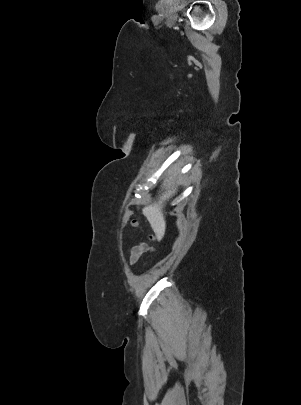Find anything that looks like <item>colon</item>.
<instances>
[{
  "label": "colon",
  "instance_id": "1",
  "mask_svg": "<svg viewBox=\"0 0 301 405\" xmlns=\"http://www.w3.org/2000/svg\"><path fill=\"white\" fill-rule=\"evenodd\" d=\"M131 225L136 226V225H137V220L133 219V220L131 221Z\"/></svg>",
  "mask_w": 301,
  "mask_h": 405
}]
</instances>
